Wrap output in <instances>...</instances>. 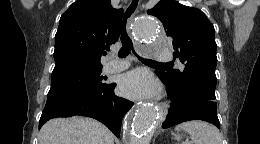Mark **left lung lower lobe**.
<instances>
[{
	"label": "left lung lower lobe",
	"instance_id": "0a47b994",
	"mask_svg": "<svg viewBox=\"0 0 260 144\" xmlns=\"http://www.w3.org/2000/svg\"><path fill=\"white\" fill-rule=\"evenodd\" d=\"M156 74L166 85L171 100L168 114L162 123L164 129L191 120L211 122L220 128L216 111L215 92L200 88L195 84H188L182 88L174 89L160 74Z\"/></svg>",
	"mask_w": 260,
	"mask_h": 144
}]
</instances>
